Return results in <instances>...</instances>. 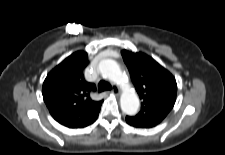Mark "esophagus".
<instances>
[{
  "mask_svg": "<svg viewBox=\"0 0 225 155\" xmlns=\"http://www.w3.org/2000/svg\"><path fill=\"white\" fill-rule=\"evenodd\" d=\"M111 94L119 95L120 90L118 87H113L112 90L110 91Z\"/></svg>",
  "mask_w": 225,
  "mask_h": 155,
  "instance_id": "34e87169",
  "label": "esophagus"
}]
</instances>
